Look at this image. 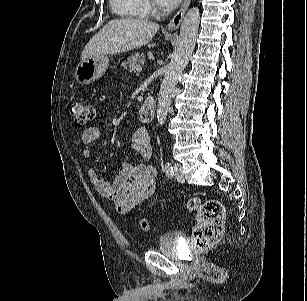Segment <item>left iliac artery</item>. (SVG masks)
I'll list each match as a JSON object with an SVG mask.
<instances>
[{"instance_id":"1","label":"left iliac artery","mask_w":307,"mask_h":301,"mask_svg":"<svg viewBox=\"0 0 307 301\" xmlns=\"http://www.w3.org/2000/svg\"><path fill=\"white\" fill-rule=\"evenodd\" d=\"M164 171L168 177H172L174 175L173 167L170 162L165 163Z\"/></svg>"}]
</instances>
